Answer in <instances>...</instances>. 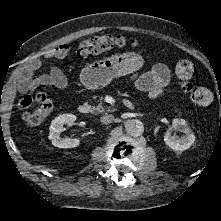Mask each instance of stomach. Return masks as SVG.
Listing matches in <instances>:
<instances>
[{
	"label": "stomach",
	"mask_w": 221,
	"mask_h": 221,
	"mask_svg": "<svg viewBox=\"0 0 221 221\" xmlns=\"http://www.w3.org/2000/svg\"><path fill=\"white\" fill-rule=\"evenodd\" d=\"M143 65L144 59L137 53L114 54L85 66L80 73V81L88 89L103 88L114 78L134 73Z\"/></svg>",
	"instance_id": "1"
}]
</instances>
